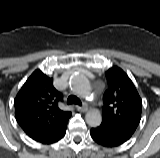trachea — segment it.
I'll use <instances>...</instances> for the list:
<instances>
[{"label": "trachea", "mask_w": 160, "mask_h": 158, "mask_svg": "<svg viewBox=\"0 0 160 158\" xmlns=\"http://www.w3.org/2000/svg\"><path fill=\"white\" fill-rule=\"evenodd\" d=\"M67 104H77V105H81V101L79 98H77L74 95H70L67 99Z\"/></svg>", "instance_id": "trachea-1"}]
</instances>
